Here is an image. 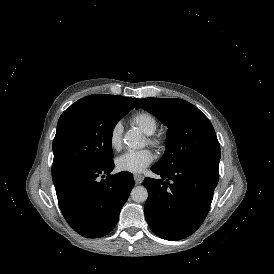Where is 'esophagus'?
I'll use <instances>...</instances> for the list:
<instances>
[{
	"label": "esophagus",
	"instance_id": "esophagus-1",
	"mask_svg": "<svg viewBox=\"0 0 274 274\" xmlns=\"http://www.w3.org/2000/svg\"><path fill=\"white\" fill-rule=\"evenodd\" d=\"M143 179H144L143 175H138V174L134 175V180L136 184H141Z\"/></svg>",
	"mask_w": 274,
	"mask_h": 274
}]
</instances>
